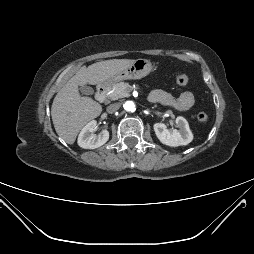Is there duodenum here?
Segmentation results:
<instances>
[{"label":"duodenum","instance_id":"1","mask_svg":"<svg viewBox=\"0 0 254 254\" xmlns=\"http://www.w3.org/2000/svg\"><path fill=\"white\" fill-rule=\"evenodd\" d=\"M108 87L106 85H99L96 90V99L99 102H104L107 98Z\"/></svg>","mask_w":254,"mask_h":254}]
</instances>
